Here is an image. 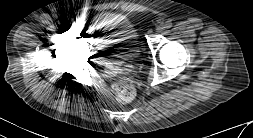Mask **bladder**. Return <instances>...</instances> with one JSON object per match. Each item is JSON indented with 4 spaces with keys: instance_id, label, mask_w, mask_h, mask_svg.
<instances>
[{
    "instance_id": "31cf9c89",
    "label": "bladder",
    "mask_w": 253,
    "mask_h": 138,
    "mask_svg": "<svg viewBox=\"0 0 253 138\" xmlns=\"http://www.w3.org/2000/svg\"><path fill=\"white\" fill-rule=\"evenodd\" d=\"M134 34L135 30L131 23L111 18L102 27L99 37L103 46L121 48L126 56L133 57Z\"/></svg>"
}]
</instances>
